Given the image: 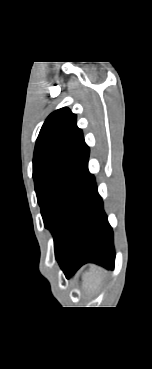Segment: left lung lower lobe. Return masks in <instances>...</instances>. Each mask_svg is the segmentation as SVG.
Segmentation results:
<instances>
[{"instance_id":"left-lung-lower-lobe-1","label":"left lung lower lobe","mask_w":152,"mask_h":369,"mask_svg":"<svg viewBox=\"0 0 152 369\" xmlns=\"http://www.w3.org/2000/svg\"><path fill=\"white\" fill-rule=\"evenodd\" d=\"M56 259L67 278L87 262L114 269L113 231L88 169Z\"/></svg>"}]
</instances>
